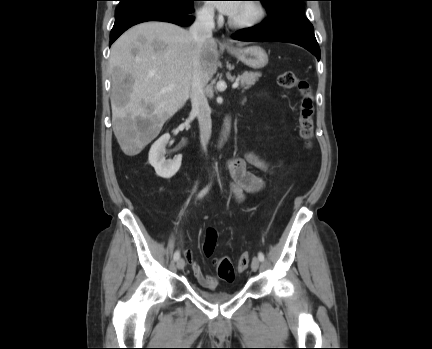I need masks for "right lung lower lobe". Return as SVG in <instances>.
<instances>
[{
    "mask_svg": "<svg viewBox=\"0 0 432 349\" xmlns=\"http://www.w3.org/2000/svg\"><path fill=\"white\" fill-rule=\"evenodd\" d=\"M193 1L184 5H173L158 0H140L120 6L115 15V23L110 34L109 46L128 28L146 21H164L180 26L190 25L194 17L188 16L193 12Z\"/></svg>",
    "mask_w": 432,
    "mask_h": 349,
    "instance_id": "98d812e1",
    "label": "right lung lower lobe"
}]
</instances>
